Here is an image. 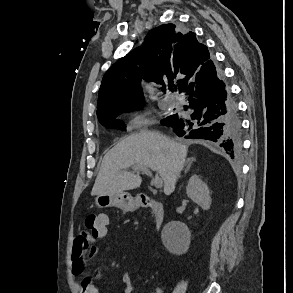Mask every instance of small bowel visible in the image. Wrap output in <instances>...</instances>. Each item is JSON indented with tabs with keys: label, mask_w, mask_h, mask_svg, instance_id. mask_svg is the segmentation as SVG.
I'll return each mask as SVG.
<instances>
[{
	"label": "small bowel",
	"mask_w": 293,
	"mask_h": 293,
	"mask_svg": "<svg viewBox=\"0 0 293 293\" xmlns=\"http://www.w3.org/2000/svg\"><path fill=\"white\" fill-rule=\"evenodd\" d=\"M106 234L107 227L104 232L98 236H94L86 231H81L75 238L72 250V271L76 276L82 277V280L77 284L79 293H99V289L92 278L85 276V271L89 259L99 252V247L96 244L97 240L105 237ZM96 278L100 279L101 275L97 273ZM121 286L122 293H138L133 285L131 274L128 272L123 273Z\"/></svg>",
	"instance_id": "c3829d8e"
}]
</instances>
